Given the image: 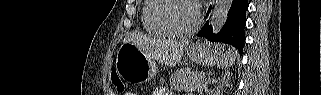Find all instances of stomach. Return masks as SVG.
<instances>
[{
  "mask_svg": "<svg viewBox=\"0 0 321 95\" xmlns=\"http://www.w3.org/2000/svg\"><path fill=\"white\" fill-rule=\"evenodd\" d=\"M221 48L206 50L203 44H194L189 47L188 55L193 62L211 65L218 60ZM116 71L119 76L129 82L144 83L157 74V65L153 58L141 51L132 43H123L116 58Z\"/></svg>",
  "mask_w": 321,
  "mask_h": 95,
  "instance_id": "stomach-1",
  "label": "stomach"
}]
</instances>
